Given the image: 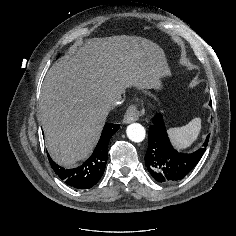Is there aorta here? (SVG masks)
<instances>
[{
	"mask_svg": "<svg viewBox=\"0 0 236 236\" xmlns=\"http://www.w3.org/2000/svg\"><path fill=\"white\" fill-rule=\"evenodd\" d=\"M127 137L133 142H142L145 139V128L139 123H132L126 129Z\"/></svg>",
	"mask_w": 236,
	"mask_h": 236,
	"instance_id": "762f6f07",
	"label": "aorta"
}]
</instances>
